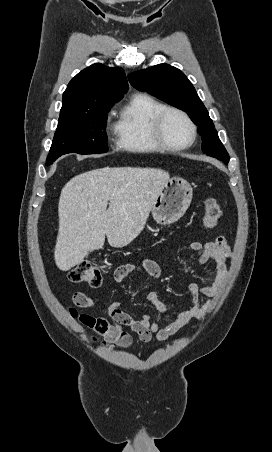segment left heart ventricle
<instances>
[{"label":"left heart ventricle","mask_w":272,"mask_h":452,"mask_svg":"<svg viewBox=\"0 0 272 452\" xmlns=\"http://www.w3.org/2000/svg\"><path fill=\"white\" fill-rule=\"evenodd\" d=\"M165 138L172 144H182L190 139V129L186 121L178 114L169 112L163 120Z\"/></svg>","instance_id":"b2bd125f"}]
</instances>
